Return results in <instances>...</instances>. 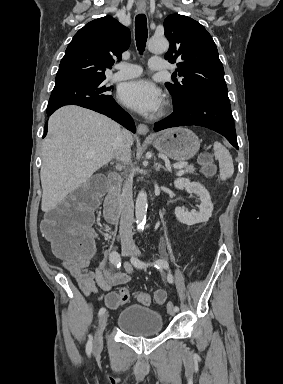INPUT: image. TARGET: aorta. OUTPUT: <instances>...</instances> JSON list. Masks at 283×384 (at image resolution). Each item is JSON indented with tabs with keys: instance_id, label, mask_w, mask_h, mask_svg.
I'll return each mask as SVG.
<instances>
[{
	"instance_id": "obj_1",
	"label": "aorta",
	"mask_w": 283,
	"mask_h": 384,
	"mask_svg": "<svg viewBox=\"0 0 283 384\" xmlns=\"http://www.w3.org/2000/svg\"><path fill=\"white\" fill-rule=\"evenodd\" d=\"M169 48V42L163 37H152L148 42V49L152 53H164ZM147 214V194L144 190L138 193L135 205V216L137 228H144Z\"/></svg>"
}]
</instances>
